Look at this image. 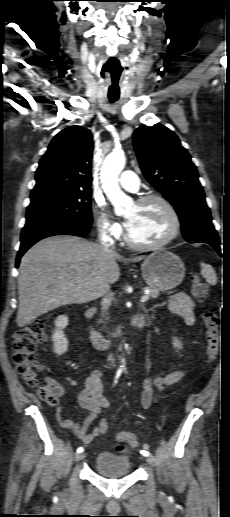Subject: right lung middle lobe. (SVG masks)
I'll return each mask as SVG.
<instances>
[{
  "label": "right lung middle lobe",
  "mask_w": 230,
  "mask_h": 517,
  "mask_svg": "<svg viewBox=\"0 0 230 517\" xmlns=\"http://www.w3.org/2000/svg\"><path fill=\"white\" fill-rule=\"evenodd\" d=\"M90 195V190H78L31 199L26 223L44 219L92 223Z\"/></svg>",
  "instance_id": "dd1d6c3e"
}]
</instances>
